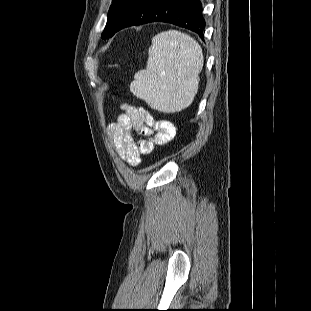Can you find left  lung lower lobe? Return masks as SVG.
<instances>
[{"label": "left lung lower lobe", "mask_w": 311, "mask_h": 311, "mask_svg": "<svg viewBox=\"0 0 311 311\" xmlns=\"http://www.w3.org/2000/svg\"><path fill=\"white\" fill-rule=\"evenodd\" d=\"M150 22L172 23L196 32L203 39L205 21L199 0H128L110 37L125 27Z\"/></svg>", "instance_id": "1"}]
</instances>
